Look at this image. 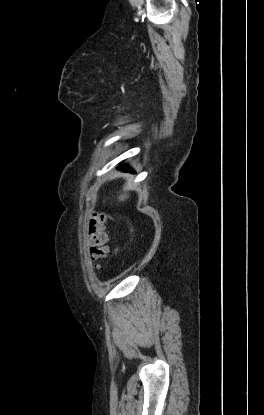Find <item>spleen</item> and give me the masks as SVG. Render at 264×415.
<instances>
[{"label": "spleen", "instance_id": "spleen-1", "mask_svg": "<svg viewBox=\"0 0 264 415\" xmlns=\"http://www.w3.org/2000/svg\"><path fill=\"white\" fill-rule=\"evenodd\" d=\"M124 198H125V196H121V197H120V200H123Z\"/></svg>", "mask_w": 264, "mask_h": 415}]
</instances>
